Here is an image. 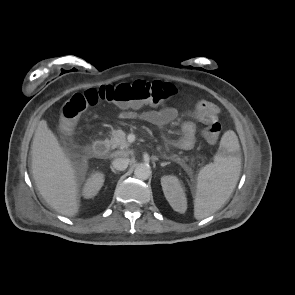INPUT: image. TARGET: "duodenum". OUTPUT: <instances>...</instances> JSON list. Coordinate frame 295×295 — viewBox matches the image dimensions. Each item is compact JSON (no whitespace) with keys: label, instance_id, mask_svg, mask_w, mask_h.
I'll return each mask as SVG.
<instances>
[{"label":"duodenum","instance_id":"obj_1","mask_svg":"<svg viewBox=\"0 0 295 295\" xmlns=\"http://www.w3.org/2000/svg\"><path fill=\"white\" fill-rule=\"evenodd\" d=\"M109 150V144L106 140H98L92 145V151L96 156H104Z\"/></svg>","mask_w":295,"mask_h":295}]
</instances>
